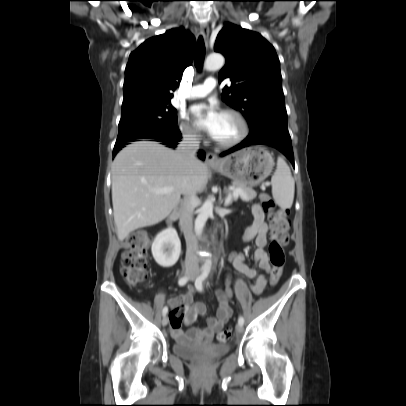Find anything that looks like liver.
Returning <instances> with one entry per match:
<instances>
[{
  "mask_svg": "<svg viewBox=\"0 0 406 406\" xmlns=\"http://www.w3.org/2000/svg\"><path fill=\"white\" fill-rule=\"evenodd\" d=\"M208 166L188 164L177 152L158 142L136 141L122 149L112 164V203L118 239L164 220L178 205L181 194L202 192ZM170 187L171 193L153 190Z\"/></svg>",
  "mask_w": 406,
  "mask_h": 406,
  "instance_id": "obj_1",
  "label": "liver"
}]
</instances>
